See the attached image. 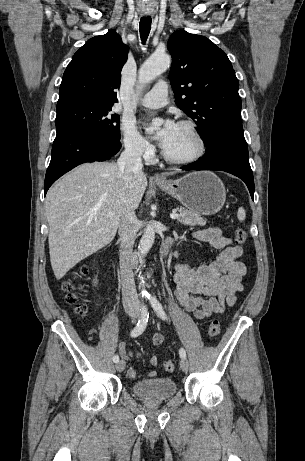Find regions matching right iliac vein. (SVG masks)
I'll list each match as a JSON object with an SVG mask.
<instances>
[{"label":"right iliac vein","instance_id":"obj_1","mask_svg":"<svg viewBox=\"0 0 305 461\" xmlns=\"http://www.w3.org/2000/svg\"><path fill=\"white\" fill-rule=\"evenodd\" d=\"M127 313L133 319H136L138 317V314H137V311H136L135 308L128 309ZM116 369H117V371L122 372L125 369V361L121 360V361L117 362Z\"/></svg>","mask_w":305,"mask_h":461}]
</instances>
